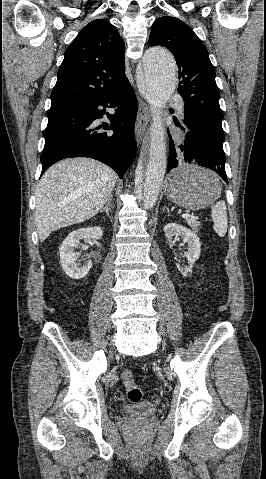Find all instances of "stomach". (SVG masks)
<instances>
[{
	"label": "stomach",
	"mask_w": 266,
	"mask_h": 479,
	"mask_svg": "<svg viewBox=\"0 0 266 479\" xmlns=\"http://www.w3.org/2000/svg\"><path fill=\"white\" fill-rule=\"evenodd\" d=\"M221 183L212 171L197 165H183L173 170L165 183V195L188 210H200L221 194Z\"/></svg>",
	"instance_id": "1"
}]
</instances>
